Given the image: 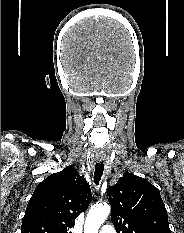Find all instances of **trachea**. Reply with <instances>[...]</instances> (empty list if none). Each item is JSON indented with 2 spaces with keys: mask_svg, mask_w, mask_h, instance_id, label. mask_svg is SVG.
Masks as SVG:
<instances>
[{
  "mask_svg": "<svg viewBox=\"0 0 184 233\" xmlns=\"http://www.w3.org/2000/svg\"><path fill=\"white\" fill-rule=\"evenodd\" d=\"M103 171H104V164L102 162L96 163L95 172H94V183L96 185H99V182H100L101 177L103 175Z\"/></svg>",
  "mask_w": 184,
  "mask_h": 233,
  "instance_id": "3493384b",
  "label": "trachea"
}]
</instances>
